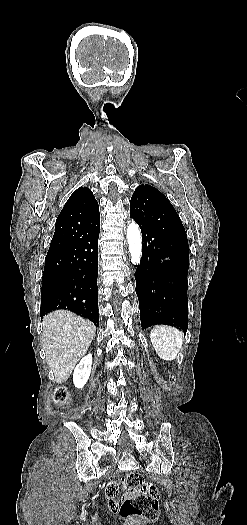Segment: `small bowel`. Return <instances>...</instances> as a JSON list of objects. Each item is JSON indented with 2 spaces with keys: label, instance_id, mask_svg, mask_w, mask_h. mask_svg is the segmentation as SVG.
<instances>
[{
  "label": "small bowel",
  "instance_id": "c3829d8e",
  "mask_svg": "<svg viewBox=\"0 0 247 525\" xmlns=\"http://www.w3.org/2000/svg\"><path fill=\"white\" fill-rule=\"evenodd\" d=\"M120 486V483L118 480L113 479L110 481L109 485L107 486L106 490V497H105V505L107 508H109L110 512L113 514H116L119 512L120 507L118 504H116L115 500V492H117L118 488Z\"/></svg>",
  "mask_w": 247,
  "mask_h": 525
}]
</instances>
